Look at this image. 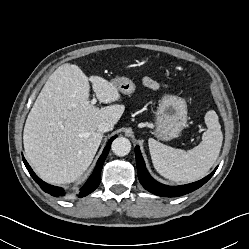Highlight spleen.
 Here are the masks:
<instances>
[{"instance_id": "obj_1", "label": "spleen", "mask_w": 249, "mask_h": 249, "mask_svg": "<svg viewBox=\"0 0 249 249\" xmlns=\"http://www.w3.org/2000/svg\"><path fill=\"white\" fill-rule=\"evenodd\" d=\"M207 130L201 143L184 151L166 146L153 138L148 141L152 163L163 177L176 182H194L204 177L216 162L223 141L221 125L214 110L205 115Z\"/></svg>"}]
</instances>
